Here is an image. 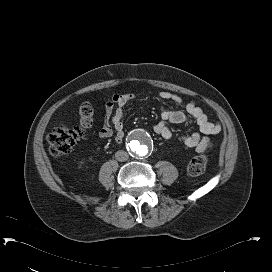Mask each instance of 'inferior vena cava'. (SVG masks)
<instances>
[{"label":"inferior vena cava","instance_id":"602c4592","mask_svg":"<svg viewBox=\"0 0 272 272\" xmlns=\"http://www.w3.org/2000/svg\"><path fill=\"white\" fill-rule=\"evenodd\" d=\"M115 158L120 162H124L129 158V155L126 151L119 150L115 153Z\"/></svg>","mask_w":272,"mask_h":272}]
</instances>
